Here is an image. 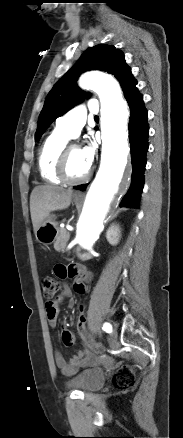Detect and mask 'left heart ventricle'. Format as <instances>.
Returning <instances> with one entry per match:
<instances>
[{
    "mask_svg": "<svg viewBox=\"0 0 183 438\" xmlns=\"http://www.w3.org/2000/svg\"><path fill=\"white\" fill-rule=\"evenodd\" d=\"M89 169V165L85 161L82 151L79 147L73 148L68 156L67 175L71 179H79L83 177Z\"/></svg>",
    "mask_w": 183,
    "mask_h": 438,
    "instance_id": "1",
    "label": "left heart ventricle"
}]
</instances>
